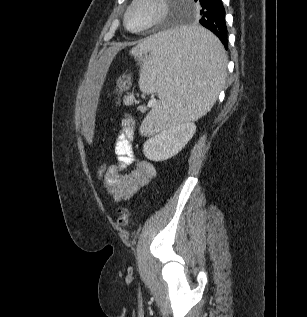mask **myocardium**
<instances>
[{"instance_id":"1","label":"myocardium","mask_w":307,"mask_h":317,"mask_svg":"<svg viewBox=\"0 0 307 317\" xmlns=\"http://www.w3.org/2000/svg\"><path fill=\"white\" fill-rule=\"evenodd\" d=\"M140 4L151 5L153 7V15L143 25L133 28L130 26L129 18L134 9ZM168 9L169 7L167 0H132L124 13L123 23L128 31L132 33H141L153 28L158 23H160L167 15Z\"/></svg>"}]
</instances>
